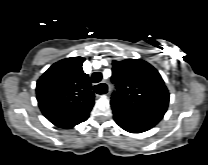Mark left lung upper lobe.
I'll return each mask as SVG.
<instances>
[{"instance_id": "1", "label": "left lung upper lobe", "mask_w": 208, "mask_h": 165, "mask_svg": "<svg viewBox=\"0 0 208 165\" xmlns=\"http://www.w3.org/2000/svg\"><path fill=\"white\" fill-rule=\"evenodd\" d=\"M111 107L114 117L154 127L169 104V92L158 71L141 59L113 61Z\"/></svg>"}]
</instances>
